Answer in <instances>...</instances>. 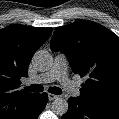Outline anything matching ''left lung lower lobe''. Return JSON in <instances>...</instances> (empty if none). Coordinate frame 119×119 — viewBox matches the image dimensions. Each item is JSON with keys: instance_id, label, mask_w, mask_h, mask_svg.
Here are the masks:
<instances>
[{"instance_id": "left-lung-lower-lobe-1", "label": "left lung lower lobe", "mask_w": 119, "mask_h": 119, "mask_svg": "<svg viewBox=\"0 0 119 119\" xmlns=\"http://www.w3.org/2000/svg\"><path fill=\"white\" fill-rule=\"evenodd\" d=\"M68 111L62 119H119V112L89 103L79 97L68 99Z\"/></svg>"}]
</instances>
